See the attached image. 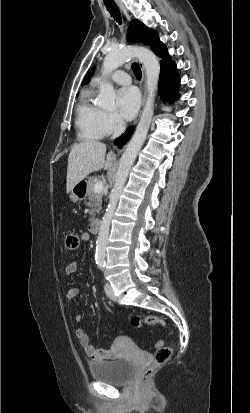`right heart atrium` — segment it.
I'll return each mask as SVG.
<instances>
[{
  "label": "right heart atrium",
  "mask_w": 250,
  "mask_h": 413,
  "mask_svg": "<svg viewBox=\"0 0 250 413\" xmlns=\"http://www.w3.org/2000/svg\"><path fill=\"white\" fill-rule=\"evenodd\" d=\"M124 121L116 111H103L101 126L103 135L117 133L124 128Z\"/></svg>",
  "instance_id": "right-heart-atrium-1"
}]
</instances>
